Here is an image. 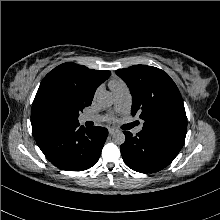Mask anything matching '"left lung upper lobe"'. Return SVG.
Segmentation results:
<instances>
[{"label":"left lung upper lobe","mask_w":220,"mask_h":220,"mask_svg":"<svg viewBox=\"0 0 220 220\" xmlns=\"http://www.w3.org/2000/svg\"><path fill=\"white\" fill-rule=\"evenodd\" d=\"M132 95L131 113L144 120L140 132L181 150L187 130V117L181 94L163 70L135 65L116 70Z\"/></svg>","instance_id":"left-lung-upper-lobe-1"}]
</instances>
